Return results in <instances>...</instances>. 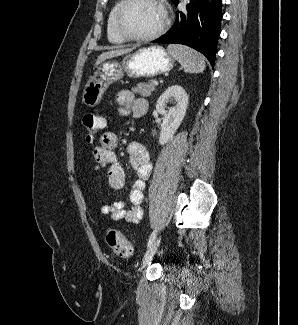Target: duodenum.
Returning <instances> with one entry per match:
<instances>
[{"label":"duodenum","instance_id":"duodenum-1","mask_svg":"<svg viewBox=\"0 0 298 325\" xmlns=\"http://www.w3.org/2000/svg\"><path fill=\"white\" fill-rule=\"evenodd\" d=\"M147 112L146 103H139L135 108V115L137 117H142Z\"/></svg>","mask_w":298,"mask_h":325}]
</instances>
